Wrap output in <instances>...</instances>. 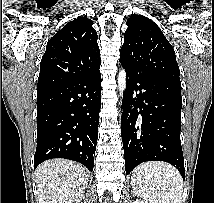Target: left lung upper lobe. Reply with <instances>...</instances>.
I'll list each match as a JSON object with an SVG mask.
<instances>
[{
    "label": "left lung upper lobe",
    "instance_id": "5c2ea615",
    "mask_svg": "<svg viewBox=\"0 0 214 203\" xmlns=\"http://www.w3.org/2000/svg\"><path fill=\"white\" fill-rule=\"evenodd\" d=\"M120 62L128 69L181 86L173 47L160 28L142 15L127 20Z\"/></svg>",
    "mask_w": 214,
    "mask_h": 203
}]
</instances>
